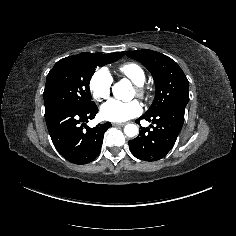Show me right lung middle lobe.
I'll list each match as a JSON object with an SVG mask.
<instances>
[{"instance_id":"1","label":"right lung middle lobe","mask_w":236,"mask_h":236,"mask_svg":"<svg viewBox=\"0 0 236 236\" xmlns=\"http://www.w3.org/2000/svg\"><path fill=\"white\" fill-rule=\"evenodd\" d=\"M124 52L81 53L59 60L47 75L43 93L45 112L55 108L85 109L93 104L89 82L96 67L113 63Z\"/></svg>"}]
</instances>
